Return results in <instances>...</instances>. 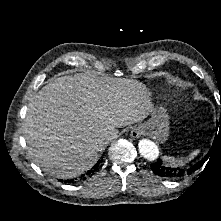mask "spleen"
<instances>
[{
  "mask_svg": "<svg viewBox=\"0 0 221 221\" xmlns=\"http://www.w3.org/2000/svg\"><path fill=\"white\" fill-rule=\"evenodd\" d=\"M198 153H199V151L196 150V151L192 152L187 158L175 159V158L170 157V156H165L164 159L167 162V164L172 165V166H177V165H181V164L187 162L188 160H191Z\"/></svg>",
  "mask_w": 221,
  "mask_h": 221,
  "instance_id": "1",
  "label": "spleen"
}]
</instances>
